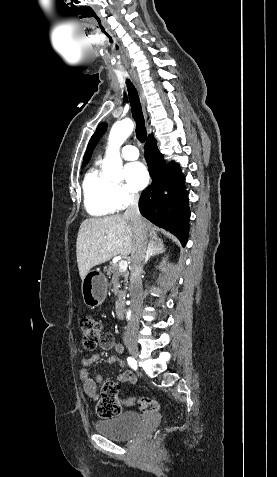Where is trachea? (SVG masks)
<instances>
[{
  "label": "trachea",
  "mask_w": 277,
  "mask_h": 477,
  "mask_svg": "<svg viewBox=\"0 0 277 477\" xmlns=\"http://www.w3.org/2000/svg\"><path fill=\"white\" fill-rule=\"evenodd\" d=\"M127 91L129 94V101L131 104V110L133 118L136 122V135L137 139L144 143L147 137V132L145 128L144 116L142 113V107L140 104L138 93L129 79H126Z\"/></svg>",
  "instance_id": "obj_1"
}]
</instances>
